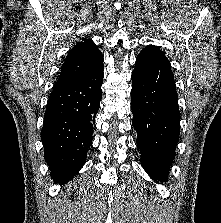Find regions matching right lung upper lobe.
I'll list each match as a JSON object with an SVG mask.
<instances>
[{
	"instance_id": "right-lung-upper-lobe-1",
	"label": "right lung upper lobe",
	"mask_w": 221,
	"mask_h": 223,
	"mask_svg": "<svg viewBox=\"0 0 221 223\" xmlns=\"http://www.w3.org/2000/svg\"><path fill=\"white\" fill-rule=\"evenodd\" d=\"M103 65V56L90 39L77 43L68 53L54 88L73 84Z\"/></svg>"
}]
</instances>
